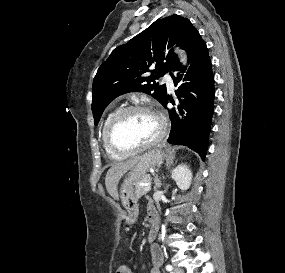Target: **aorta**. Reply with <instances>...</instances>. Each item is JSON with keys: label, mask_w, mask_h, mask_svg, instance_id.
<instances>
[{"label": "aorta", "mask_w": 285, "mask_h": 273, "mask_svg": "<svg viewBox=\"0 0 285 273\" xmlns=\"http://www.w3.org/2000/svg\"><path fill=\"white\" fill-rule=\"evenodd\" d=\"M180 57H181V61H182V62H185V58L183 57L182 54H180Z\"/></svg>", "instance_id": "762f6f07"}]
</instances>
